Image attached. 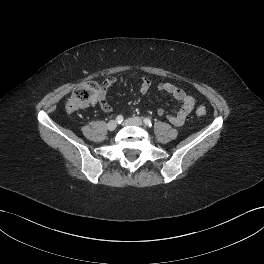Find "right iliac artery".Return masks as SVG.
Wrapping results in <instances>:
<instances>
[{"label":"right iliac artery","instance_id":"obj_1","mask_svg":"<svg viewBox=\"0 0 264 264\" xmlns=\"http://www.w3.org/2000/svg\"><path fill=\"white\" fill-rule=\"evenodd\" d=\"M123 116L122 115H118L117 116V118H116V121L118 122V123H121L122 121H123Z\"/></svg>","mask_w":264,"mask_h":264}]
</instances>
